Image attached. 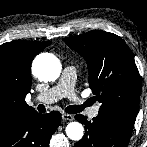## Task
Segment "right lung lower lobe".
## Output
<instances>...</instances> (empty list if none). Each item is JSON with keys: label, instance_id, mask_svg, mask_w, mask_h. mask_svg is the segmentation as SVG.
<instances>
[{"label": "right lung lower lobe", "instance_id": "right-lung-lower-lobe-1", "mask_svg": "<svg viewBox=\"0 0 147 147\" xmlns=\"http://www.w3.org/2000/svg\"><path fill=\"white\" fill-rule=\"evenodd\" d=\"M60 122L57 111L25 115L0 131V147H48Z\"/></svg>", "mask_w": 147, "mask_h": 147}]
</instances>
